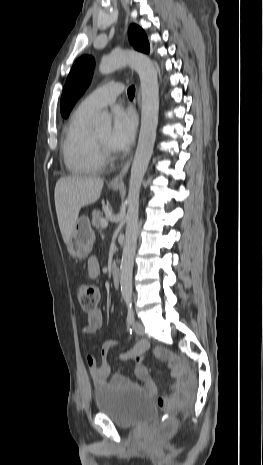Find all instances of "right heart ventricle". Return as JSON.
Here are the masks:
<instances>
[{
  "instance_id": "e07e8e85",
  "label": "right heart ventricle",
  "mask_w": 263,
  "mask_h": 465,
  "mask_svg": "<svg viewBox=\"0 0 263 465\" xmlns=\"http://www.w3.org/2000/svg\"><path fill=\"white\" fill-rule=\"evenodd\" d=\"M92 114L77 109L69 119L62 141V154L66 168L76 175L100 172L105 165L93 135L89 131Z\"/></svg>"
}]
</instances>
